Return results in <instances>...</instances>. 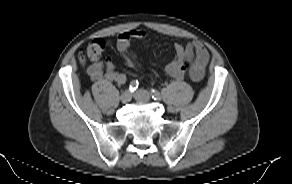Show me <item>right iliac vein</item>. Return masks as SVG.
I'll use <instances>...</instances> for the list:
<instances>
[{"instance_id":"1","label":"right iliac vein","mask_w":292,"mask_h":184,"mask_svg":"<svg viewBox=\"0 0 292 184\" xmlns=\"http://www.w3.org/2000/svg\"><path fill=\"white\" fill-rule=\"evenodd\" d=\"M131 98H132V95L130 91L126 90L121 94L120 100L122 103H128L130 102Z\"/></svg>"}]
</instances>
